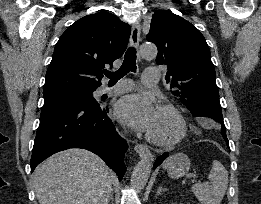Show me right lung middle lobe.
<instances>
[{
    "label": "right lung middle lobe",
    "mask_w": 261,
    "mask_h": 204,
    "mask_svg": "<svg viewBox=\"0 0 261 204\" xmlns=\"http://www.w3.org/2000/svg\"><path fill=\"white\" fill-rule=\"evenodd\" d=\"M92 91H68L44 95V105L75 100H95Z\"/></svg>",
    "instance_id": "obj_1"
}]
</instances>
